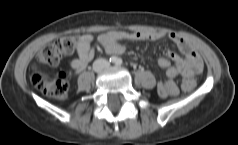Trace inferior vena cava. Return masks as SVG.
<instances>
[{
  "label": "inferior vena cava",
  "mask_w": 238,
  "mask_h": 145,
  "mask_svg": "<svg viewBox=\"0 0 238 145\" xmlns=\"http://www.w3.org/2000/svg\"><path fill=\"white\" fill-rule=\"evenodd\" d=\"M108 66H109V62L103 58L97 59L93 63V69L96 72H100Z\"/></svg>",
  "instance_id": "inferior-vena-cava-1"
}]
</instances>
